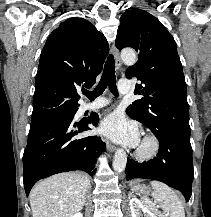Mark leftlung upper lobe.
I'll return each instance as SVG.
<instances>
[{"label": "left lung upper lobe", "mask_w": 211, "mask_h": 217, "mask_svg": "<svg viewBox=\"0 0 211 217\" xmlns=\"http://www.w3.org/2000/svg\"><path fill=\"white\" fill-rule=\"evenodd\" d=\"M116 47H132L138 61L126 70L137 77L134 94L143 95L127 108L128 115L153 133L170 131L190 138L189 105L176 43L163 24L141 9L126 10L120 18Z\"/></svg>", "instance_id": "obj_1"}]
</instances>
